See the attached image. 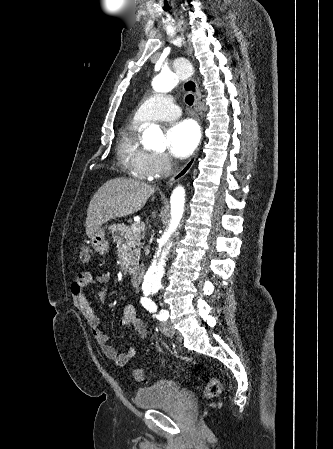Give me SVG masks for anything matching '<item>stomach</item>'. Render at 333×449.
<instances>
[{
	"mask_svg": "<svg viewBox=\"0 0 333 449\" xmlns=\"http://www.w3.org/2000/svg\"><path fill=\"white\" fill-rule=\"evenodd\" d=\"M91 244L93 249L100 255H104L108 249L109 245L105 239V231L103 228H99L91 237Z\"/></svg>",
	"mask_w": 333,
	"mask_h": 449,
	"instance_id": "1",
	"label": "stomach"
}]
</instances>
